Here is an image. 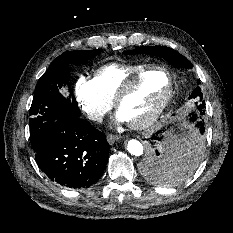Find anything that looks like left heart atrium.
<instances>
[{
	"instance_id": "obj_1",
	"label": "left heart atrium",
	"mask_w": 233,
	"mask_h": 233,
	"mask_svg": "<svg viewBox=\"0 0 233 233\" xmlns=\"http://www.w3.org/2000/svg\"><path fill=\"white\" fill-rule=\"evenodd\" d=\"M117 118L119 121H125V118L120 113L117 115Z\"/></svg>"
}]
</instances>
